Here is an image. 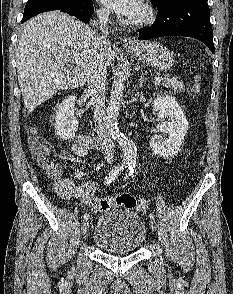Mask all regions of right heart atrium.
Wrapping results in <instances>:
<instances>
[{
  "label": "right heart atrium",
  "instance_id": "obj_1",
  "mask_svg": "<svg viewBox=\"0 0 233 294\" xmlns=\"http://www.w3.org/2000/svg\"><path fill=\"white\" fill-rule=\"evenodd\" d=\"M97 13H98V16H99L100 18H103V19L107 18L108 15H109L108 10H107L106 8H103V7L99 8V9L97 10Z\"/></svg>",
  "mask_w": 233,
  "mask_h": 294
}]
</instances>
